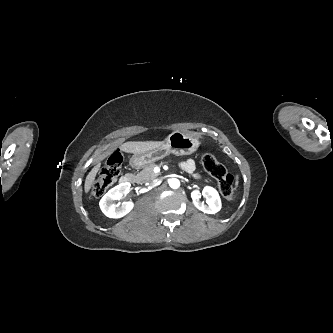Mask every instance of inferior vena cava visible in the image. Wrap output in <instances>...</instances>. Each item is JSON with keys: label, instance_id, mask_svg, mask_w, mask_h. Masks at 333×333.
Returning <instances> with one entry per match:
<instances>
[{"label": "inferior vena cava", "instance_id": "obj_1", "mask_svg": "<svg viewBox=\"0 0 333 333\" xmlns=\"http://www.w3.org/2000/svg\"><path fill=\"white\" fill-rule=\"evenodd\" d=\"M155 183H156V181L152 182L151 184H155Z\"/></svg>", "mask_w": 333, "mask_h": 333}]
</instances>
